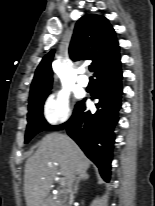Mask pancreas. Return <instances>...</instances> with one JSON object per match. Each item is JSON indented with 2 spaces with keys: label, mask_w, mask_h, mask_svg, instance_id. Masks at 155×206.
<instances>
[{
  "label": "pancreas",
  "mask_w": 155,
  "mask_h": 206,
  "mask_svg": "<svg viewBox=\"0 0 155 206\" xmlns=\"http://www.w3.org/2000/svg\"><path fill=\"white\" fill-rule=\"evenodd\" d=\"M59 205H60V206H65L62 201H59Z\"/></svg>",
  "instance_id": "1"
}]
</instances>
